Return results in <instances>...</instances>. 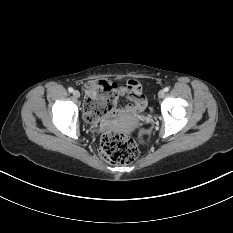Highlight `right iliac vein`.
Listing matches in <instances>:
<instances>
[{"label":"right iliac vein","mask_w":233,"mask_h":233,"mask_svg":"<svg viewBox=\"0 0 233 233\" xmlns=\"http://www.w3.org/2000/svg\"><path fill=\"white\" fill-rule=\"evenodd\" d=\"M73 95L76 97V98H79L80 97V92L78 90H75L73 92Z\"/></svg>","instance_id":"63e3f726"}]
</instances>
